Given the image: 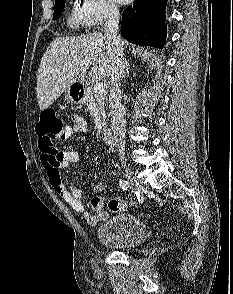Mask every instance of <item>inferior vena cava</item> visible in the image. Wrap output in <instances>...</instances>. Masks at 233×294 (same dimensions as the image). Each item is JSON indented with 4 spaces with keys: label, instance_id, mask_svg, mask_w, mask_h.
<instances>
[{
    "label": "inferior vena cava",
    "instance_id": "1",
    "mask_svg": "<svg viewBox=\"0 0 233 294\" xmlns=\"http://www.w3.org/2000/svg\"><path fill=\"white\" fill-rule=\"evenodd\" d=\"M120 13L116 7H110L107 19L104 24L105 36L109 38L116 48L114 63L110 74V90L108 103L110 109L111 125L117 143L120 159L123 161L125 156V132L126 120L121 105V80L125 73L127 62L123 55V42L118 35Z\"/></svg>",
    "mask_w": 233,
    "mask_h": 294
}]
</instances>
